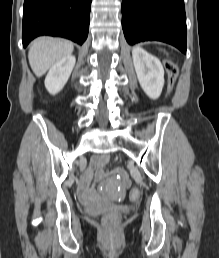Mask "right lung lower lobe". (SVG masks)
I'll return each instance as SVG.
<instances>
[{
	"mask_svg": "<svg viewBox=\"0 0 219 258\" xmlns=\"http://www.w3.org/2000/svg\"><path fill=\"white\" fill-rule=\"evenodd\" d=\"M92 0H25L23 46L41 35L59 36L80 45L89 30Z\"/></svg>",
	"mask_w": 219,
	"mask_h": 258,
	"instance_id": "1",
	"label": "right lung lower lobe"
}]
</instances>
